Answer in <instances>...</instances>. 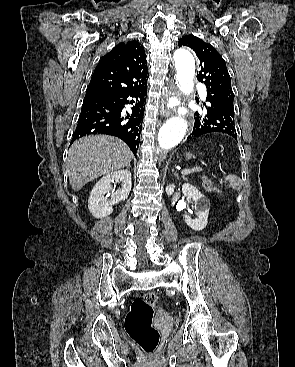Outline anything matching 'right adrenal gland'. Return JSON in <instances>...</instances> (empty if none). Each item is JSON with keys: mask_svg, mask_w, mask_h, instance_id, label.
I'll return each mask as SVG.
<instances>
[{"mask_svg": "<svg viewBox=\"0 0 295 367\" xmlns=\"http://www.w3.org/2000/svg\"><path fill=\"white\" fill-rule=\"evenodd\" d=\"M128 169H130V164L127 166Z\"/></svg>", "mask_w": 295, "mask_h": 367, "instance_id": "obj_1", "label": "right adrenal gland"}]
</instances>
